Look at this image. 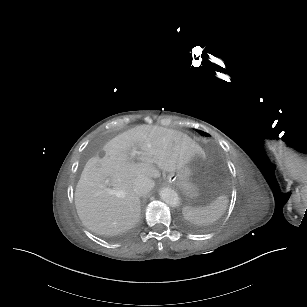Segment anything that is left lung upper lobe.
<instances>
[{
	"label": "left lung upper lobe",
	"instance_id": "5c2ea615",
	"mask_svg": "<svg viewBox=\"0 0 307 307\" xmlns=\"http://www.w3.org/2000/svg\"><path fill=\"white\" fill-rule=\"evenodd\" d=\"M201 134L204 135V136H208V134H207V133H204V132H201Z\"/></svg>",
	"mask_w": 307,
	"mask_h": 307
}]
</instances>
